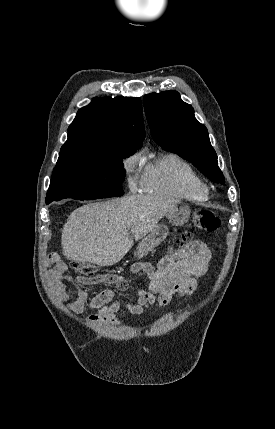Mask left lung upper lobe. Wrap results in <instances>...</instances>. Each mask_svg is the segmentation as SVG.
<instances>
[{
	"label": "left lung upper lobe",
	"instance_id": "1",
	"mask_svg": "<svg viewBox=\"0 0 275 429\" xmlns=\"http://www.w3.org/2000/svg\"><path fill=\"white\" fill-rule=\"evenodd\" d=\"M143 102L154 141L189 160L210 180L225 184L208 131L196 120L193 107L173 90L147 94Z\"/></svg>",
	"mask_w": 275,
	"mask_h": 429
}]
</instances>
